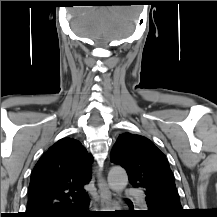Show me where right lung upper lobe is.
<instances>
[{"label":"right lung upper lobe","instance_id":"cb5924a9","mask_svg":"<svg viewBox=\"0 0 217 217\" xmlns=\"http://www.w3.org/2000/svg\"><path fill=\"white\" fill-rule=\"evenodd\" d=\"M93 158L75 139L63 138L42 155L30 179L25 217H51L88 201Z\"/></svg>","mask_w":217,"mask_h":217}]
</instances>
